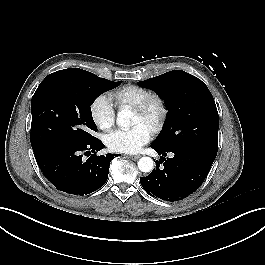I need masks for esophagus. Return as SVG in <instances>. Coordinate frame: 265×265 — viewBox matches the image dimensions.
I'll use <instances>...</instances> for the list:
<instances>
[{"label": "esophagus", "mask_w": 265, "mask_h": 265, "mask_svg": "<svg viewBox=\"0 0 265 265\" xmlns=\"http://www.w3.org/2000/svg\"><path fill=\"white\" fill-rule=\"evenodd\" d=\"M128 158H130L132 160H137L140 158V156L139 155H130V156H128Z\"/></svg>", "instance_id": "1"}]
</instances>
